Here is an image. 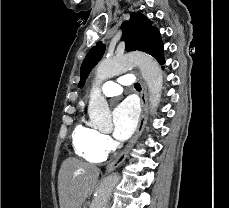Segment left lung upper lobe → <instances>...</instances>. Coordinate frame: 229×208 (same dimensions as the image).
<instances>
[{
    "mask_svg": "<svg viewBox=\"0 0 229 208\" xmlns=\"http://www.w3.org/2000/svg\"><path fill=\"white\" fill-rule=\"evenodd\" d=\"M140 12L131 13L129 21L122 24V39L125 40L126 51H144L152 55L158 62L164 61L163 43L158 29ZM105 52V45L98 42L86 55L80 69L82 88L91 69L98 63Z\"/></svg>",
    "mask_w": 229,
    "mask_h": 208,
    "instance_id": "obj_1",
    "label": "left lung upper lobe"
}]
</instances>
